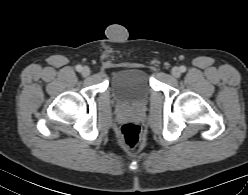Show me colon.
<instances>
[{"mask_svg": "<svg viewBox=\"0 0 248 195\" xmlns=\"http://www.w3.org/2000/svg\"><path fill=\"white\" fill-rule=\"evenodd\" d=\"M120 138L122 143L129 148L137 146L141 139L139 125L134 122L124 123L120 128Z\"/></svg>", "mask_w": 248, "mask_h": 195, "instance_id": "1", "label": "colon"}]
</instances>
